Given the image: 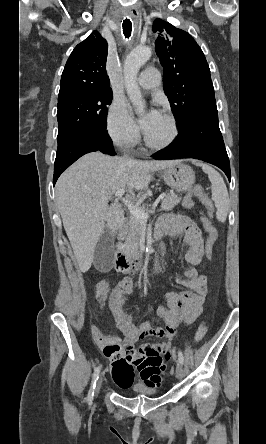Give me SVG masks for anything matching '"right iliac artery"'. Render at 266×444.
I'll return each mask as SVG.
<instances>
[{"mask_svg": "<svg viewBox=\"0 0 266 444\" xmlns=\"http://www.w3.org/2000/svg\"><path fill=\"white\" fill-rule=\"evenodd\" d=\"M100 369H101V366H98V367L95 369L94 374H93V378H92L91 386H90V389H89V392H88V396H87V402H88L89 404H90V403L92 402V400H93L94 390H95V387H96V382H97V380H98V378H99Z\"/></svg>", "mask_w": 266, "mask_h": 444, "instance_id": "right-iliac-artery-1", "label": "right iliac artery"}]
</instances>
